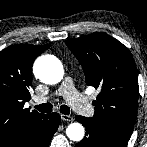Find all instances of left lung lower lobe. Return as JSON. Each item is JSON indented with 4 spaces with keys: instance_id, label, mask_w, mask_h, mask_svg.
Returning a JSON list of instances; mask_svg holds the SVG:
<instances>
[{
    "instance_id": "1",
    "label": "left lung lower lobe",
    "mask_w": 147,
    "mask_h": 147,
    "mask_svg": "<svg viewBox=\"0 0 147 147\" xmlns=\"http://www.w3.org/2000/svg\"><path fill=\"white\" fill-rule=\"evenodd\" d=\"M75 119L86 128V135L75 147H126L102 126L92 122L90 118L76 116Z\"/></svg>"
}]
</instances>
